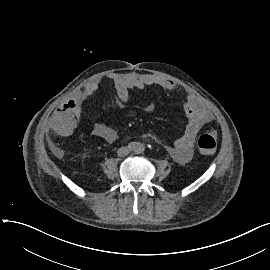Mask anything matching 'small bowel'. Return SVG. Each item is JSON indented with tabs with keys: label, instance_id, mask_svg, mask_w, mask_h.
<instances>
[{
	"label": "small bowel",
	"instance_id": "c3829d8e",
	"mask_svg": "<svg viewBox=\"0 0 270 270\" xmlns=\"http://www.w3.org/2000/svg\"><path fill=\"white\" fill-rule=\"evenodd\" d=\"M108 78L114 85L120 107H124L130 102V93L134 89L158 87L172 92L181 91L172 80L155 74H138L134 72L116 73L111 74ZM98 88L99 82L91 81L75 99H71L63 105V110L69 113L70 118L65 128L59 134L68 135L74 130L76 119L81 116L82 106L96 93ZM183 108L187 118L185 131L173 144L166 145V149L171 157L179 163H185L191 159L198 132L214 120L212 113L195 95H185ZM145 110L152 113L155 112L156 108L153 104H149L145 107ZM92 134L108 143H113L119 138L117 129L100 123L93 126ZM152 137L161 141L160 137L156 134Z\"/></svg>",
	"mask_w": 270,
	"mask_h": 270
}]
</instances>
